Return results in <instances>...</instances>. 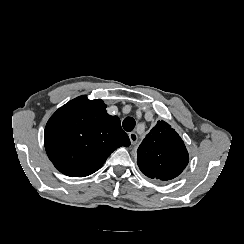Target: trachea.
<instances>
[{"mask_svg": "<svg viewBox=\"0 0 244 244\" xmlns=\"http://www.w3.org/2000/svg\"><path fill=\"white\" fill-rule=\"evenodd\" d=\"M122 126L125 131H132L135 127V120L132 117H127L124 119Z\"/></svg>", "mask_w": 244, "mask_h": 244, "instance_id": "obj_1", "label": "trachea"}]
</instances>
